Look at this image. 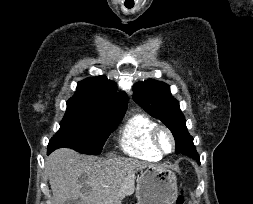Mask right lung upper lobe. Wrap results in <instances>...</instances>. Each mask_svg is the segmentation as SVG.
<instances>
[{
	"label": "right lung upper lobe",
	"instance_id": "1",
	"mask_svg": "<svg viewBox=\"0 0 253 204\" xmlns=\"http://www.w3.org/2000/svg\"><path fill=\"white\" fill-rule=\"evenodd\" d=\"M115 83L100 75L78 82L72 99L102 108L112 115H124L127 109V95L115 93Z\"/></svg>",
	"mask_w": 253,
	"mask_h": 204
}]
</instances>
